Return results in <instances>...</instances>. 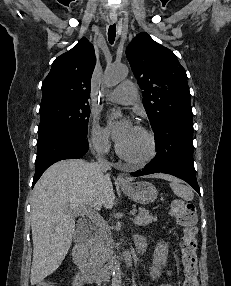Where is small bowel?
<instances>
[{"label": "small bowel", "instance_id": "small-bowel-1", "mask_svg": "<svg viewBox=\"0 0 231 286\" xmlns=\"http://www.w3.org/2000/svg\"><path fill=\"white\" fill-rule=\"evenodd\" d=\"M160 286H172V285H171V284L166 283V284H162V285H160Z\"/></svg>", "mask_w": 231, "mask_h": 286}]
</instances>
